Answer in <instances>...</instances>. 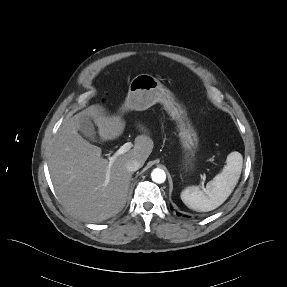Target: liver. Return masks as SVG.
I'll list each match as a JSON object with an SVG mask.
<instances>
[{
    "mask_svg": "<svg viewBox=\"0 0 287 287\" xmlns=\"http://www.w3.org/2000/svg\"><path fill=\"white\" fill-rule=\"evenodd\" d=\"M83 117L93 119L103 141L118 138L125 128L120 117L106 115L98 105L90 106L64 120L52 144L48 166L56 194L65 208L85 222L99 223L119 213L126 203L132 174L125 164L137 160L143 166L154 144L148 134L137 136L133 148L109 168L101 148L78 133Z\"/></svg>",
    "mask_w": 287,
    "mask_h": 287,
    "instance_id": "6515ba94",
    "label": "liver"
}]
</instances>
